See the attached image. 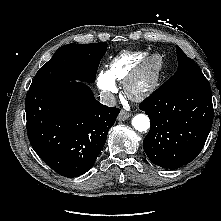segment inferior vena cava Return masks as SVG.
Instances as JSON below:
<instances>
[{"instance_id": "inferior-vena-cava-1", "label": "inferior vena cava", "mask_w": 221, "mask_h": 221, "mask_svg": "<svg viewBox=\"0 0 221 221\" xmlns=\"http://www.w3.org/2000/svg\"><path fill=\"white\" fill-rule=\"evenodd\" d=\"M100 102L106 106L112 107L116 105V99L110 92H104L100 94Z\"/></svg>"}]
</instances>
